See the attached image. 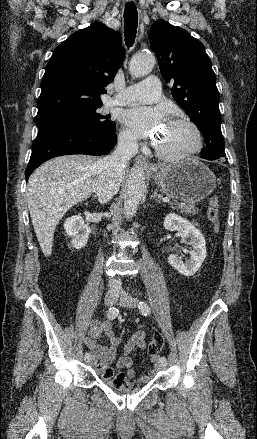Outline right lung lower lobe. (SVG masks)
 Instances as JSON below:
<instances>
[{
	"label": "right lung lower lobe",
	"mask_w": 257,
	"mask_h": 439,
	"mask_svg": "<svg viewBox=\"0 0 257 439\" xmlns=\"http://www.w3.org/2000/svg\"><path fill=\"white\" fill-rule=\"evenodd\" d=\"M117 140L115 132L95 129L74 122H55L39 127L25 171L26 181L43 162L68 154L104 155Z\"/></svg>",
	"instance_id": "1"
}]
</instances>
